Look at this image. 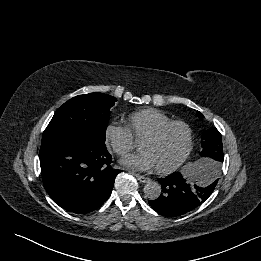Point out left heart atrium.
<instances>
[{"label":"left heart atrium","mask_w":261,"mask_h":261,"mask_svg":"<svg viewBox=\"0 0 261 261\" xmlns=\"http://www.w3.org/2000/svg\"><path fill=\"white\" fill-rule=\"evenodd\" d=\"M121 163L133 171H145L155 168V162L152 156L144 150L124 157Z\"/></svg>","instance_id":"left-heart-atrium-1"}]
</instances>
